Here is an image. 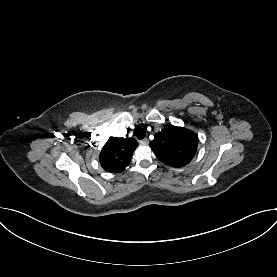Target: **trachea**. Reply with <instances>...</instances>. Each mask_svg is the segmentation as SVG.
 I'll return each instance as SVG.
<instances>
[{"label": "trachea", "instance_id": "trachea-1", "mask_svg": "<svg viewBox=\"0 0 277 277\" xmlns=\"http://www.w3.org/2000/svg\"><path fill=\"white\" fill-rule=\"evenodd\" d=\"M135 134H136V137L141 140V139H144L145 136H146V132L143 128L141 127H138L135 131Z\"/></svg>", "mask_w": 277, "mask_h": 277}]
</instances>
